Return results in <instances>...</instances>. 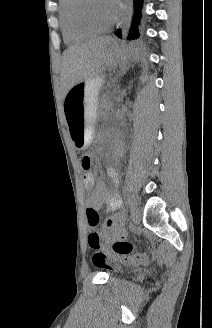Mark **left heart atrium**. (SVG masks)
<instances>
[{
	"mask_svg": "<svg viewBox=\"0 0 212 328\" xmlns=\"http://www.w3.org/2000/svg\"><path fill=\"white\" fill-rule=\"evenodd\" d=\"M105 3L110 7L112 8L113 10L115 9V6H116V3H117V0H105Z\"/></svg>",
	"mask_w": 212,
	"mask_h": 328,
	"instance_id": "obj_1",
	"label": "left heart atrium"
}]
</instances>
